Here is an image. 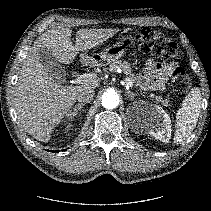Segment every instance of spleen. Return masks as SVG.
Instances as JSON below:
<instances>
[{
    "mask_svg": "<svg viewBox=\"0 0 211 211\" xmlns=\"http://www.w3.org/2000/svg\"><path fill=\"white\" fill-rule=\"evenodd\" d=\"M201 92L194 87L185 97L181 108L176 115V131L174 144H179L189 137L196 127L201 109Z\"/></svg>",
    "mask_w": 211,
    "mask_h": 211,
    "instance_id": "obj_1",
    "label": "spleen"
}]
</instances>
